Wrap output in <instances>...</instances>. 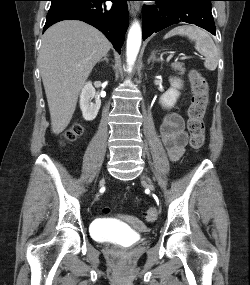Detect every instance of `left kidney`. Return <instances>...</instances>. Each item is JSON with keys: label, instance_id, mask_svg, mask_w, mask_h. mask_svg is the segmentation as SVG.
Instances as JSON below:
<instances>
[{"label": "left kidney", "instance_id": "5707ae66", "mask_svg": "<svg viewBox=\"0 0 250 285\" xmlns=\"http://www.w3.org/2000/svg\"><path fill=\"white\" fill-rule=\"evenodd\" d=\"M182 81L180 79H176V78H170V84L171 87L170 89H168V91H166L161 97H160V104L165 107V108H172L179 95L180 92L178 91L179 89H181L182 87Z\"/></svg>", "mask_w": 250, "mask_h": 285}]
</instances>
